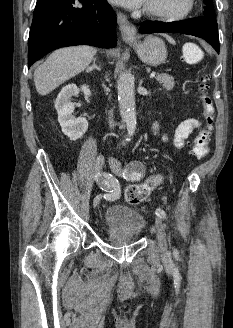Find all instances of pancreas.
I'll return each instance as SVG.
<instances>
[{"label":"pancreas","instance_id":"cf45deb5","mask_svg":"<svg viewBox=\"0 0 233 328\" xmlns=\"http://www.w3.org/2000/svg\"><path fill=\"white\" fill-rule=\"evenodd\" d=\"M155 79L157 82L161 83L164 88L168 90H171L174 87V78L168 74H158Z\"/></svg>","mask_w":233,"mask_h":328}]
</instances>
